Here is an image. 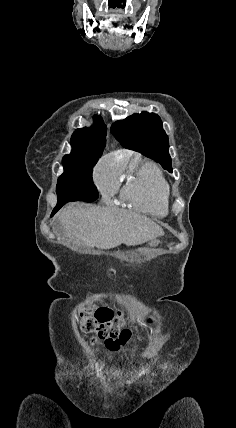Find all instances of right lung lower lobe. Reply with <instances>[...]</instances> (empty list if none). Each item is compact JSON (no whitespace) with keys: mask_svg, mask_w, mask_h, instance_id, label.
I'll use <instances>...</instances> for the list:
<instances>
[{"mask_svg":"<svg viewBox=\"0 0 236 428\" xmlns=\"http://www.w3.org/2000/svg\"><path fill=\"white\" fill-rule=\"evenodd\" d=\"M58 210H53L52 212V216L57 212Z\"/></svg>","mask_w":236,"mask_h":428,"instance_id":"1","label":"right lung lower lobe"}]
</instances>
